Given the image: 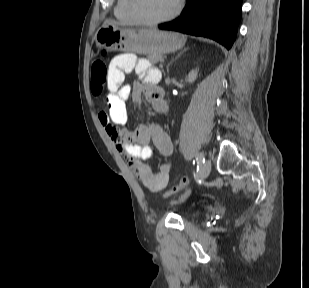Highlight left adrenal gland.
Masks as SVG:
<instances>
[{
  "instance_id": "a2214340",
  "label": "left adrenal gland",
  "mask_w": 309,
  "mask_h": 288,
  "mask_svg": "<svg viewBox=\"0 0 309 288\" xmlns=\"http://www.w3.org/2000/svg\"><path fill=\"white\" fill-rule=\"evenodd\" d=\"M188 50V48H185V49H183L177 56H176V58L174 59V60H176L178 57H180L185 51H187ZM174 60H172L170 63H169V65L174 61ZM168 65V66H169ZM168 70V69H167Z\"/></svg>"
}]
</instances>
